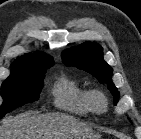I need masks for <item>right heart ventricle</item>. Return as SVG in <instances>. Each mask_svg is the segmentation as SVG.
<instances>
[{
    "mask_svg": "<svg viewBox=\"0 0 141 139\" xmlns=\"http://www.w3.org/2000/svg\"><path fill=\"white\" fill-rule=\"evenodd\" d=\"M92 92L67 76L55 80L51 88L54 106L77 116H87L95 112Z\"/></svg>",
    "mask_w": 141,
    "mask_h": 139,
    "instance_id": "obj_1",
    "label": "right heart ventricle"
}]
</instances>
